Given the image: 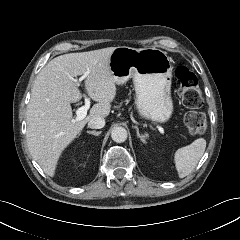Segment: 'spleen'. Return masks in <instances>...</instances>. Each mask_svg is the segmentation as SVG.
<instances>
[{
  "label": "spleen",
  "mask_w": 240,
  "mask_h": 240,
  "mask_svg": "<svg viewBox=\"0 0 240 240\" xmlns=\"http://www.w3.org/2000/svg\"><path fill=\"white\" fill-rule=\"evenodd\" d=\"M205 148L206 140L198 138L190 145L182 147L175 152V166L180 178L188 176L194 170L203 156Z\"/></svg>",
  "instance_id": "spleen-1"
}]
</instances>
